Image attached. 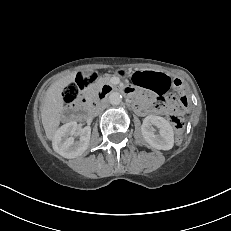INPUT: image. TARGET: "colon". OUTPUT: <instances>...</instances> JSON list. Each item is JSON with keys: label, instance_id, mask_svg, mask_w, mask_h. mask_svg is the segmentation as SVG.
<instances>
[{"label": "colon", "instance_id": "1", "mask_svg": "<svg viewBox=\"0 0 231 231\" xmlns=\"http://www.w3.org/2000/svg\"><path fill=\"white\" fill-rule=\"evenodd\" d=\"M135 81L137 85H141L142 77L139 74L135 75ZM97 79V75L95 73H88L78 77L76 82L72 85H69L65 88L63 97L66 103H72L79 94L87 89L95 80ZM165 104L164 98H158V106H162ZM176 107H180L181 109H186L188 107V101L185 96H179L176 98V103L174 104ZM171 121L176 131V142L179 144L183 140L184 128H185V120L182 116L173 114L171 115Z\"/></svg>", "mask_w": 231, "mask_h": 231}]
</instances>
